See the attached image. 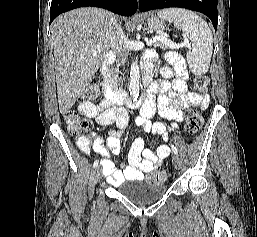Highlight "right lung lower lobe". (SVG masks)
I'll use <instances>...</instances> for the list:
<instances>
[{"instance_id": "obj_1", "label": "right lung lower lobe", "mask_w": 257, "mask_h": 237, "mask_svg": "<svg viewBox=\"0 0 257 237\" xmlns=\"http://www.w3.org/2000/svg\"><path fill=\"white\" fill-rule=\"evenodd\" d=\"M101 7L122 16L133 15L138 7L137 0H52L50 23L61 13L79 7Z\"/></svg>"}]
</instances>
